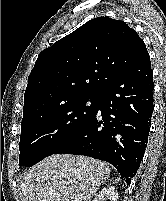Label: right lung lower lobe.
Segmentation results:
<instances>
[{"mask_svg":"<svg viewBox=\"0 0 166 201\" xmlns=\"http://www.w3.org/2000/svg\"><path fill=\"white\" fill-rule=\"evenodd\" d=\"M153 89V71L146 53L98 93L91 119L53 154L85 155L107 161L129 185L148 142Z\"/></svg>","mask_w":166,"mask_h":201,"instance_id":"obj_1","label":"right lung lower lobe"}]
</instances>
